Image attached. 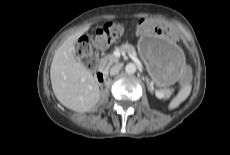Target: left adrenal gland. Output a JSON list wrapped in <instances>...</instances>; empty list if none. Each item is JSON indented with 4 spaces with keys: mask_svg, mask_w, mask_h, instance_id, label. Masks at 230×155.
Here are the masks:
<instances>
[{
    "mask_svg": "<svg viewBox=\"0 0 230 155\" xmlns=\"http://www.w3.org/2000/svg\"><path fill=\"white\" fill-rule=\"evenodd\" d=\"M146 82H147L148 90H150L152 92V90H151V88L149 86V80H148V78H146Z\"/></svg>",
    "mask_w": 230,
    "mask_h": 155,
    "instance_id": "a2214340",
    "label": "left adrenal gland"
}]
</instances>
